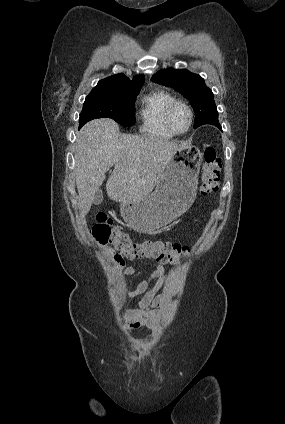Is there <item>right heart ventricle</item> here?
<instances>
[{"mask_svg":"<svg viewBox=\"0 0 285 424\" xmlns=\"http://www.w3.org/2000/svg\"><path fill=\"white\" fill-rule=\"evenodd\" d=\"M176 98L165 90H155L142 100L140 110L141 130L161 139H171L174 134L166 123V112Z\"/></svg>","mask_w":285,"mask_h":424,"instance_id":"e07e8e85","label":"right heart ventricle"}]
</instances>
